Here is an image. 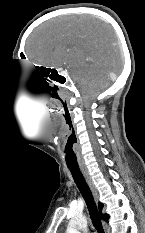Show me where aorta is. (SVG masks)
I'll return each instance as SVG.
<instances>
[{"mask_svg": "<svg viewBox=\"0 0 145 233\" xmlns=\"http://www.w3.org/2000/svg\"><path fill=\"white\" fill-rule=\"evenodd\" d=\"M87 230V219L85 216L72 218L69 221L67 233H85Z\"/></svg>", "mask_w": 145, "mask_h": 233, "instance_id": "obj_1", "label": "aorta"}]
</instances>
